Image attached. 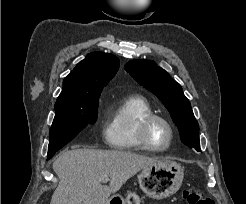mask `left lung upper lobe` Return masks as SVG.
<instances>
[{"label": "left lung upper lobe", "instance_id": "1", "mask_svg": "<svg viewBox=\"0 0 246 204\" xmlns=\"http://www.w3.org/2000/svg\"><path fill=\"white\" fill-rule=\"evenodd\" d=\"M124 68L140 85L155 94L165 105L179 129L181 141L200 152L199 125L180 84L153 61L131 60Z\"/></svg>", "mask_w": 246, "mask_h": 204}]
</instances>
